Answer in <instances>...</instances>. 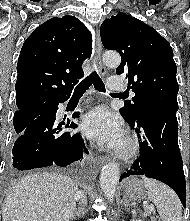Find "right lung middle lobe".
Listing matches in <instances>:
<instances>
[{"instance_id":"right-lung-middle-lobe-1","label":"right lung middle lobe","mask_w":190,"mask_h":221,"mask_svg":"<svg viewBox=\"0 0 190 221\" xmlns=\"http://www.w3.org/2000/svg\"><path fill=\"white\" fill-rule=\"evenodd\" d=\"M44 105L36 106L23 112L15 113L13 118L14 128L17 134H21L27 125L39 116Z\"/></svg>"}]
</instances>
